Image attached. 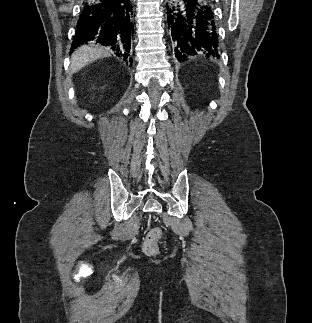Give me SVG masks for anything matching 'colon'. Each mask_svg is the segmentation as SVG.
Instances as JSON below:
<instances>
[{"label": "colon", "mask_w": 312, "mask_h": 323, "mask_svg": "<svg viewBox=\"0 0 312 323\" xmlns=\"http://www.w3.org/2000/svg\"><path fill=\"white\" fill-rule=\"evenodd\" d=\"M161 236V232L158 230L152 231L144 240L143 250L148 254H155L158 252V238Z\"/></svg>", "instance_id": "obj_1"}]
</instances>
